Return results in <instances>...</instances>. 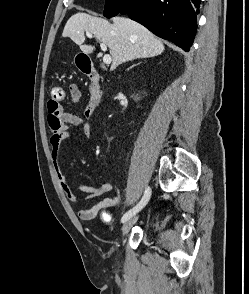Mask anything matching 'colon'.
<instances>
[{"label":"colon","mask_w":249,"mask_h":294,"mask_svg":"<svg viewBox=\"0 0 249 294\" xmlns=\"http://www.w3.org/2000/svg\"><path fill=\"white\" fill-rule=\"evenodd\" d=\"M64 96L65 94L63 88L59 85H53L51 88V98L49 102L53 105H58L61 101H63Z\"/></svg>","instance_id":"obj_1"}]
</instances>
